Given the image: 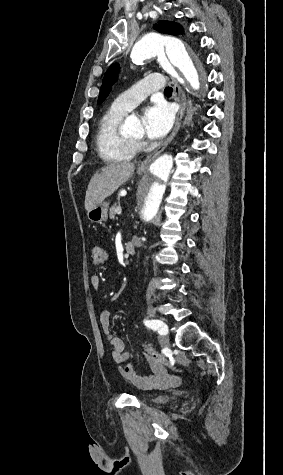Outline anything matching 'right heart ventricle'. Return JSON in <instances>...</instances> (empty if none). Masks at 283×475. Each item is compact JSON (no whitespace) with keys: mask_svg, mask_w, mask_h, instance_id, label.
<instances>
[{"mask_svg":"<svg viewBox=\"0 0 283 475\" xmlns=\"http://www.w3.org/2000/svg\"><path fill=\"white\" fill-rule=\"evenodd\" d=\"M127 111L111 105L100 117L97 123L95 142L102 158L108 162L129 161L137 153L127 136L120 128V123Z\"/></svg>","mask_w":283,"mask_h":475,"instance_id":"1","label":"right heart ventricle"}]
</instances>
